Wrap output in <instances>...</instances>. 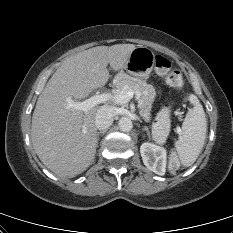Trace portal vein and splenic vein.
Masks as SVG:
<instances>
[{"instance_id":"18ae733b","label":"portal vein and splenic vein","mask_w":233,"mask_h":233,"mask_svg":"<svg viewBox=\"0 0 233 233\" xmlns=\"http://www.w3.org/2000/svg\"><path fill=\"white\" fill-rule=\"evenodd\" d=\"M134 94L137 96V99L140 97L138 91H128L127 87H124L120 93L112 94L110 92H105L102 94H95L82 102H75L72 99H68V106L86 112L98 104L106 103L107 101H112L118 105L126 104L130 102Z\"/></svg>"}]
</instances>
